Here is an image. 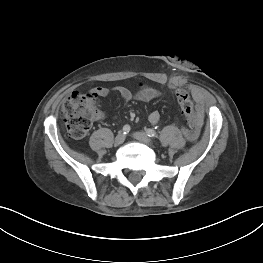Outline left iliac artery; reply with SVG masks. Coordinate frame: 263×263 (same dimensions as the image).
Here are the masks:
<instances>
[{"instance_id":"left-iliac-artery-1","label":"left iliac artery","mask_w":263,"mask_h":263,"mask_svg":"<svg viewBox=\"0 0 263 263\" xmlns=\"http://www.w3.org/2000/svg\"><path fill=\"white\" fill-rule=\"evenodd\" d=\"M146 134L149 136V137H153V138H156L158 135H157V132L154 130V129H146Z\"/></svg>"}]
</instances>
